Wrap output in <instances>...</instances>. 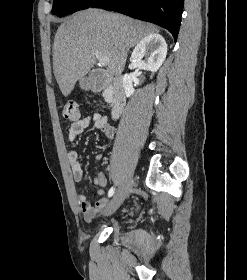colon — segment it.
<instances>
[{
  "instance_id": "colon-1",
  "label": "colon",
  "mask_w": 247,
  "mask_h": 280,
  "mask_svg": "<svg viewBox=\"0 0 247 280\" xmlns=\"http://www.w3.org/2000/svg\"><path fill=\"white\" fill-rule=\"evenodd\" d=\"M63 114L69 120H78L80 116L78 104L75 101H68L64 106Z\"/></svg>"
}]
</instances>
